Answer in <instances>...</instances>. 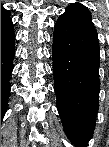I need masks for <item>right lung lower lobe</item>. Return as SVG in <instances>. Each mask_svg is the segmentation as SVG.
<instances>
[{"label": "right lung lower lobe", "mask_w": 109, "mask_h": 147, "mask_svg": "<svg viewBox=\"0 0 109 147\" xmlns=\"http://www.w3.org/2000/svg\"><path fill=\"white\" fill-rule=\"evenodd\" d=\"M15 35L11 18L1 21V120L7 109L10 92L9 78L13 70Z\"/></svg>", "instance_id": "1"}]
</instances>
